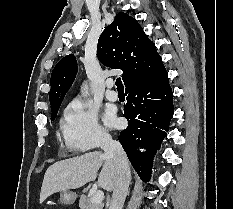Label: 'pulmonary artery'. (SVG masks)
I'll return each instance as SVG.
<instances>
[{
    "label": "pulmonary artery",
    "mask_w": 233,
    "mask_h": 209,
    "mask_svg": "<svg viewBox=\"0 0 233 209\" xmlns=\"http://www.w3.org/2000/svg\"><path fill=\"white\" fill-rule=\"evenodd\" d=\"M107 90H106V98L110 101H116L118 99V94L115 90H113L114 87V81L108 80L106 83Z\"/></svg>",
    "instance_id": "obj_1"
}]
</instances>
